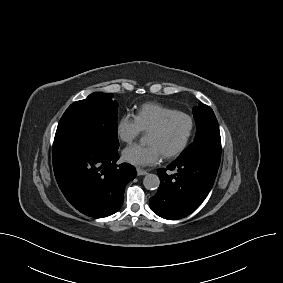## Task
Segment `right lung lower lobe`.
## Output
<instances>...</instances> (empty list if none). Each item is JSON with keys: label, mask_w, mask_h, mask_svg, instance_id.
Wrapping results in <instances>:
<instances>
[{"label": "right lung lower lobe", "mask_w": 283, "mask_h": 283, "mask_svg": "<svg viewBox=\"0 0 283 283\" xmlns=\"http://www.w3.org/2000/svg\"><path fill=\"white\" fill-rule=\"evenodd\" d=\"M117 149L82 137L54 139L55 178L66 199L81 213L100 218L121 208L125 185L137 172L130 164H117Z\"/></svg>", "instance_id": "right-lung-lower-lobe-1"}]
</instances>
